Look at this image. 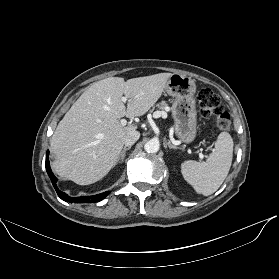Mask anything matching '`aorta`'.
<instances>
[{
	"label": "aorta",
	"mask_w": 279,
	"mask_h": 279,
	"mask_svg": "<svg viewBox=\"0 0 279 279\" xmlns=\"http://www.w3.org/2000/svg\"><path fill=\"white\" fill-rule=\"evenodd\" d=\"M160 144L156 139H151L147 141L144 145V149L147 153H157L159 151Z\"/></svg>",
	"instance_id": "762f6f07"
}]
</instances>
